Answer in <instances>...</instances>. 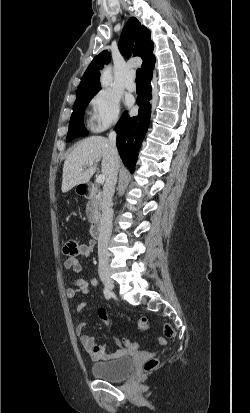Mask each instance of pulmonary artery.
Masks as SVG:
<instances>
[{"mask_svg": "<svg viewBox=\"0 0 250 413\" xmlns=\"http://www.w3.org/2000/svg\"><path fill=\"white\" fill-rule=\"evenodd\" d=\"M134 79H135L134 72H130L127 76V80H126V83H125V87L128 91L133 92V91L136 90V84H135Z\"/></svg>", "mask_w": 250, "mask_h": 413, "instance_id": "1", "label": "pulmonary artery"}]
</instances>
